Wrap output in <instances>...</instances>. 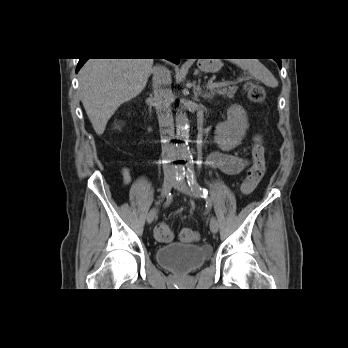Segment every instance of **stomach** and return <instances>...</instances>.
Returning <instances> with one entry per match:
<instances>
[{
  "label": "stomach",
  "mask_w": 348,
  "mask_h": 348,
  "mask_svg": "<svg viewBox=\"0 0 348 348\" xmlns=\"http://www.w3.org/2000/svg\"><path fill=\"white\" fill-rule=\"evenodd\" d=\"M222 67L219 59H201L199 60V69L206 73H215Z\"/></svg>",
  "instance_id": "1"
}]
</instances>
